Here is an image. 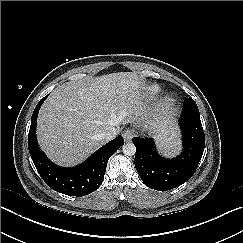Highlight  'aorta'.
<instances>
[{"instance_id":"aorta-1","label":"aorta","mask_w":243,"mask_h":243,"mask_svg":"<svg viewBox=\"0 0 243 243\" xmlns=\"http://www.w3.org/2000/svg\"><path fill=\"white\" fill-rule=\"evenodd\" d=\"M122 151L126 156H133L136 152V147L133 143H126L122 146Z\"/></svg>"}]
</instances>
